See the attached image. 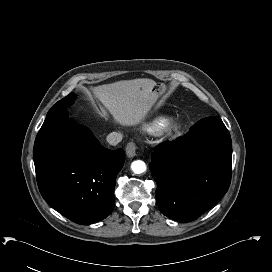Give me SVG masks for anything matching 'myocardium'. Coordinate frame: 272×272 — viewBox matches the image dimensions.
Instances as JSON below:
<instances>
[{"instance_id":"obj_1","label":"myocardium","mask_w":272,"mask_h":272,"mask_svg":"<svg viewBox=\"0 0 272 272\" xmlns=\"http://www.w3.org/2000/svg\"><path fill=\"white\" fill-rule=\"evenodd\" d=\"M179 129H180V127H178V126H174L172 130H173L174 132H178V131H179Z\"/></svg>"}]
</instances>
